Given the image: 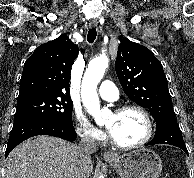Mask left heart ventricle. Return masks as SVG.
<instances>
[{
    "instance_id": "left-heart-ventricle-1",
    "label": "left heart ventricle",
    "mask_w": 194,
    "mask_h": 178,
    "mask_svg": "<svg viewBox=\"0 0 194 178\" xmlns=\"http://www.w3.org/2000/svg\"><path fill=\"white\" fill-rule=\"evenodd\" d=\"M106 125L117 141L123 144H134L143 139L147 126L143 116L137 111L111 114Z\"/></svg>"
}]
</instances>
